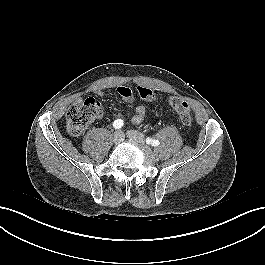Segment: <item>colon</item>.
I'll return each instance as SVG.
<instances>
[{
	"label": "colon",
	"instance_id": "5ec220e1",
	"mask_svg": "<svg viewBox=\"0 0 265 265\" xmlns=\"http://www.w3.org/2000/svg\"><path fill=\"white\" fill-rule=\"evenodd\" d=\"M137 94L144 101H152L155 98L154 92L145 86H137ZM169 105L177 113L184 125L192 123L191 109L187 101L172 96L168 99ZM102 114V108L98 101L88 99L83 103L72 105L66 113L67 130L72 136H78L84 132L86 127Z\"/></svg>",
	"mask_w": 265,
	"mask_h": 265
}]
</instances>
